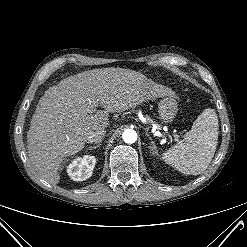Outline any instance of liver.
<instances>
[{
    "instance_id": "obj_1",
    "label": "liver",
    "mask_w": 247,
    "mask_h": 247,
    "mask_svg": "<svg viewBox=\"0 0 247 247\" xmlns=\"http://www.w3.org/2000/svg\"><path fill=\"white\" fill-rule=\"evenodd\" d=\"M167 96L174 97V91L123 68L93 69L61 80L40 98L32 117L27 133L32 167L58 184L63 160L82 151L91 132L108 127L109 113ZM98 104L105 111L95 112Z\"/></svg>"
}]
</instances>
